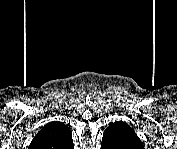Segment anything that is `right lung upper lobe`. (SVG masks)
I'll use <instances>...</instances> for the list:
<instances>
[{"label":"right lung upper lobe","instance_id":"1","mask_svg":"<svg viewBox=\"0 0 177 149\" xmlns=\"http://www.w3.org/2000/svg\"><path fill=\"white\" fill-rule=\"evenodd\" d=\"M30 146L37 149H70L73 146L71 131L63 122H49L34 137Z\"/></svg>","mask_w":177,"mask_h":149}]
</instances>
